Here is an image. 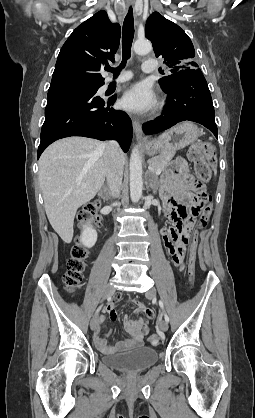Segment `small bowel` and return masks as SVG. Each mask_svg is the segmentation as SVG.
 Segmentation results:
<instances>
[{
  "instance_id": "c3829d8e",
  "label": "small bowel",
  "mask_w": 255,
  "mask_h": 418,
  "mask_svg": "<svg viewBox=\"0 0 255 418\" xmlns=\"http://www.w3.org/2000/svg\"><path fill=\"white\" fill-rule=\"evenodd\" d=\"M161 195L165 203L163 211L172 222V226L163 228L160 232L161 239L166 246L165 254L170 256V264L174 269L183 272L186 249L189 247L190 237L196 234V230L194 228H176V226L199 207L202 197L205 196L204 186L190 173L186 163L178 160L165 175ZM136 305L138 311L145 315L146 320L124 318L123 325L131 335L130 338L110 345L102 336L100 327L96 328L93 339L96 347L102 353L112 354L142 345L144 335L148 332V320L154 316V312L140 302H136ZM106 312L111 321L117 319L118 313L113 303L107 306ZM104 320L105 318L101 317L100 324Z\"/></svg>"
}]
</instances>
